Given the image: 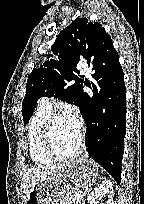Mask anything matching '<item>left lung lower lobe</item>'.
I'll use <instances>...</instances> for the list:
<instances>
[{
  "label": "left lung lower lobe",
  "instance_id": "left-lung-lower-lobe-1",
  "mask_svg": "<svg viewBox=\"0 0 144 204\" xmlns=\"http://www.w3.org/2000/svg\"><path fill=\"white\" fill-rule=\"evenodd\" d=\"M93 95L83 94L82 116L87 124L88 157L119 184L126 134V88L119 59L107 71L93 66Z\"/></svg>",
  "mask_w": 144,
  "mask_h": 204
}]
</instances>
